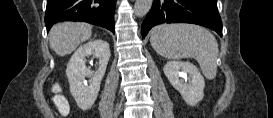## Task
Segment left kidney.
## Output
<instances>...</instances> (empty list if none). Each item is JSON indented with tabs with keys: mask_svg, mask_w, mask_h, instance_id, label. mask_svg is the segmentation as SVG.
I'll use <instances>...</instances> for the list:
<instances>
[{
	"mask_svg": "<svg viewBox=\"0 0 273 118\" xmlns=\"http://www.w3.org/2000/svg\"><path fill=\"white\" fill-rule=\"evenodd\" d=\"M163 71L188 105L195 106L203 99L205 82L196 66L189 62L169 61ZM187 76L188 82H184Z\"/></svg>",
	"mask_w": 273,
	"mask_h": 118,
	"instance_id": "obj_1",
	"label": "left kidney"
}]
</instances>
